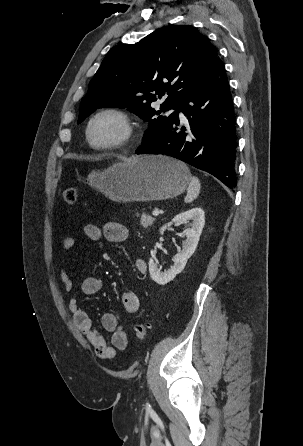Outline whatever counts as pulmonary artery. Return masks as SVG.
<instances>
[{"instance_id": "e3ab8cb5", "label": "pulmonary artery", "mask_w": 303, "mask_h": 446, "mask_svg": "<svg viewBox=\"0 0 303 446\" xmlns=\"http://www.w3.org/2000/svg\"><path fill=\"white\" fill-rule=\"evenodd\" d=\"M179 116H180L181 118H184V114L182 113V111H179Z\"/></svg>"}]
</instances>
